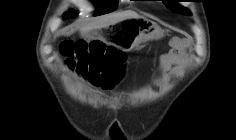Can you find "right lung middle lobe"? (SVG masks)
Masks as SVG:
<instances>
[{
	"instance_id": "1",
	"label": "right lung middle lobe",
	"mask_w": 236,
	"mask_h": 140,
	"mask_svg": "<svg viewBox=\"0 0 236 140\" xmlns=\"http://www.w3.org/2000/svg\"><path fill=\"white\" fill-rule=\"evenodd\" d=\"M117 2L118 1H96L97 4H101L105 7V11L98 12L96 15H102L114 11L117 8ZM74 15V12L70 11L65 14V18H69L70 16Z\"/></svg>"
}]
</instances>
